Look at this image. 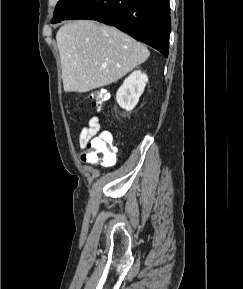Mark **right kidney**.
I'll use <instances>...</instances> for the list:
<instances>
[{
	"label": "right kidney",
	"instance_id": "right-kidney-1",
	"mask_svg": "<svg viewBox=\"0 0 243 289\" xmlns=\"http://www.w3.org/2000/svg\"><path fill=\"white\" fill-rule=\"evenodd\" d=\"M148 77L140 70L133 71L123 82L116 94V101L119 106L127 111H131L138 103Z\"/></svg>",
	"mask_w": 243,
	"mask_h": 289
}]
</instances>
